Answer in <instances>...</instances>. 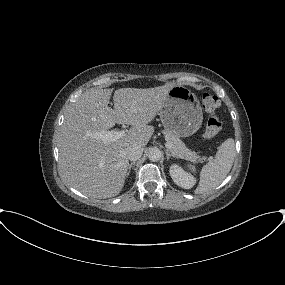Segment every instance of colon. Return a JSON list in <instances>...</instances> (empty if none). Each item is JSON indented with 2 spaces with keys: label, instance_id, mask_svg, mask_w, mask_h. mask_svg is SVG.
Listing matches in <instances>:
<instances>
[{
  "label": "colon",
  "instance_id": "5ec220e1",
  "mask_svg": "<svg viewBox=\"0 0 285 285\" xmlns=\"http://www.w3.org/2000/svg\"><path fill=\"white\" fill-rule=\"evenodd\" d=\"M201 101L203 109L208 114L204 138L209 140L214 138L221 130L222 122L217 113L221 101L216 95L208 92L202 94Z\"/></svg>",
  "mask_w": 285,
  "mask_h": 285
}]
</instances>
